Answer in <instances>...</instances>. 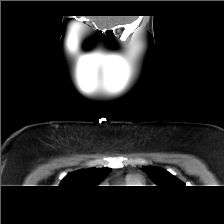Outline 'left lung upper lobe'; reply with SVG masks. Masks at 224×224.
Here are the masks:
<instances>
[{
    "label": "left lung upper lobe",
    "instance_id": "1",
    "mask_svg": "<svg viewBox=\"0 0 224 224\" xmlns=\"http://www.w3.org/2000/svg\"><path fill=\"white\" fill-rule=\"evenodd\" d=\"M143 168L158 187L174 188L182 187L184 185L183 182L164 169L153 166H147Z\"/></svg>",
    "mask_w": 224,
    "mask_h": 224
}]
</instances>
